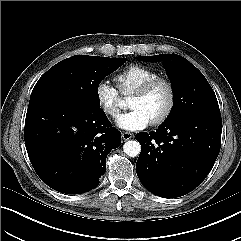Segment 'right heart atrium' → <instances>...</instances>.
<instances>
[{"label":"right heart atrium","instance_id":"d8ad5b80","mask_svg":"<svg viewBox=\"0 0 241 241\" xmlns=\"http://www.w3.org/2000/svg\"><path fill=\"white\" fill-rule=\"evenodd\" d=\"M94 94L100 109L107 116L115 117L119 113V92L109 81H99L95 87Z\"/></svg>","mask_w":241,"mask_h":241}]
</instances>
